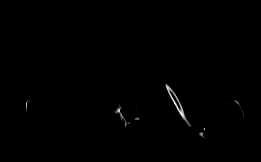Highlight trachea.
I'll return each instance as SVG.
<instances>
[{"mask_svg":"<svg viewBox=\"0 0 261 162\" xmlns=\"http://www.w3.org/2000/svg\"><path fill=\"white\" fill-rule=\"evenodd\" d=\"M126 85H127L128 88L133 89V88H135L136 83H135V81L128 80Z\"/></svg>","mask_w":261,"mask_h":162,"instance_id":"1","label":"trachea"}]
</instances>
